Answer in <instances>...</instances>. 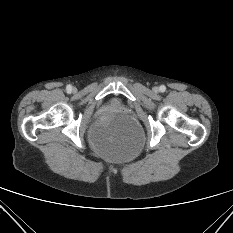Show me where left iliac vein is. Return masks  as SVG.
I'll use <instances>...</instances> for the list:
<instances>
[{"label": "left iliac vein", "mask_w": 233, "mask_h": 233, "mask_svg": "<svg viewBox=\"0 0 233 233\" xmlns=\"http://www.w3.org/2000/svg\"><path fill=\"white\" fill-rule=\"evenodd\" d=\"M154 91H155V92H158V91H159V88L155 87V88H154Z\"/></svg>", "instance_id": "obj_1"}]
</instances>
